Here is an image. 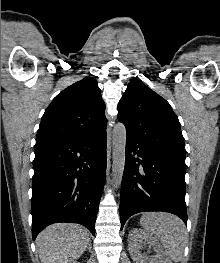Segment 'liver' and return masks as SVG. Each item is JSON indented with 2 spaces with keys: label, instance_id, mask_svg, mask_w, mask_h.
Instances as JSON below:
<instances>
[{
  "label": "liver",
  "instance_id": "liver-1",
  "mask_svg": "<svg viewBox=\"0 0 220 263\" xmlns=\"http://www.w3.org/2000/svg\"><path fill=\"white\" fill-rule=\"evenodd\" d=\"M89 234L81 225L58 223L46 227L36 239L41 263H68L87 248Z\"/></svg>",
  "mask_w": 220,
  "mask_h": 263
}]
</instances>
